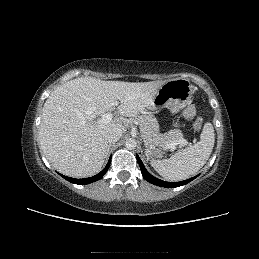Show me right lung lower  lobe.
<instances>
[{
    "mask_svg": "<svg viewBox=\"0 0 259 259\" xmlns=\"http://www.w3.org/2000/svg\"><path fill=\"white\" fill-rule=\"evenodd\" d=\"M110 162H111V157L106 165V167L100 172L98 173L97 175L93 176V177H89V178H84V179H75V178H70V177H67V176H64V175H61L64 179L68 180L69 182H72L74 184H79V185H85V184H89V183H92V182H95L99 179H101L104 174L108 171L109 169V166H110Z\"/></svg>",
    "mask_w": 259,
    "mask_h": 259,
    "instance_id": "right-lung-lower-lobe-1",
    "label": "right lung lower lobe"
}]
</instances>
